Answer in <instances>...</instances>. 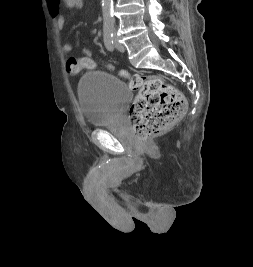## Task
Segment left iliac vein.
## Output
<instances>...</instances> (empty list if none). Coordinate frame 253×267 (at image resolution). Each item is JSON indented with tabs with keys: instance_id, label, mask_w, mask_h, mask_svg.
Segmentation results:
<instances>
[{
	"instance_id": "left-iliac-vein-1",
	"label": "left iliac vein",
	"mask_w": 253,
	"mask_h": 267,
	"mask_svg": "<svg viewBox=\"0 0 253 267\" xmlns=\"http://www.w3.org/2000/svg\"><path fill=\"white\" fill-rule=\"evenodd\" d=\"M113 41H114L115 46H116L118 51H120V52H124L125 51L124 46L121 43L118 42V38L116 36L113 37Z\"/></svg>"
}]
</instances>
